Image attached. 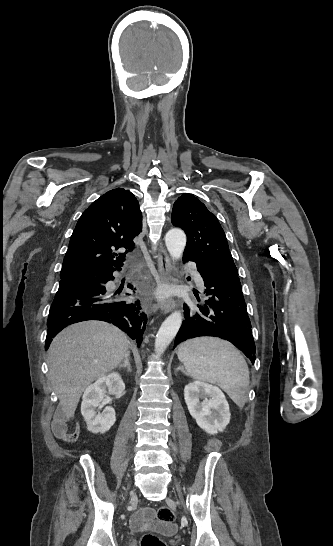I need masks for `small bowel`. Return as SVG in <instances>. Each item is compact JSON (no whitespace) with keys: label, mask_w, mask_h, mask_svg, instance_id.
Instances as JSON below:
<instances>
[{"label":"small bowel","mask_w":333,"mask_h":546,"mask_svg":"<svg viewBox=\"0 0 333 546\" xmlns=\"http://www.w3.org/2000/svg\"><path fill=\"white\" fill-rule=\"evenodd\" d=\"M52 429L55 436L66 442H75L80 435L79 427H76L73 431L68 432V423L65 418L54 419L52 423ZM154 519V511L151 508H143L138 511L131 520V527L134 530L142 529L143 527L152 523ZM172 526L167 525L166 528L170 529Z\"/></svg>","instance_id":"small-bowel-1"}]
</instances>
